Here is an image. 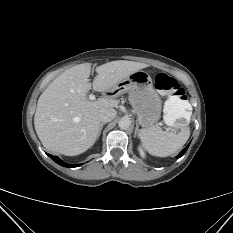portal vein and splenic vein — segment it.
Listing matches in <instances>:
<instances>
[{
  "label": "portal vein and splenic vein",
  "mask_w": 233,
  "mask_h": 233,
  "mask_svg": "<svg viewBox=\"0 0 233 233\" xmlns=\"http://www.w3.org/2000/svg\"><path fill=\"white\" fill-rule=\"evenodd\" d=\"M89 99H90V100H95V99H96V96H95L94 94H90V95H89Z\"/></svg>",
  "instance_id": "obj_1"
}]
</instances>
